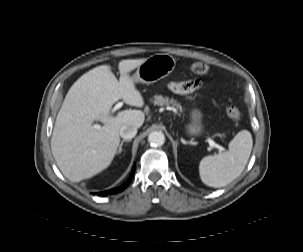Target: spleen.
<instances>
[{"mask_svg":"<svg viewBox=\"0 0 303 252\" xmlns=\"http://www.w3.org/2000/svg\"><path fill=\"white\" fill-rule=\"evenodd\" d=\"M253 140L248 130L236 134L229 143V150L218 155L204 157L199 164L202 182L210 187H223L236 179L244 170Z\"/></svg>","mask_w":303,"mask_h":252,"instance_id":"3e777b00","label":"spleen"}]
</instances>
